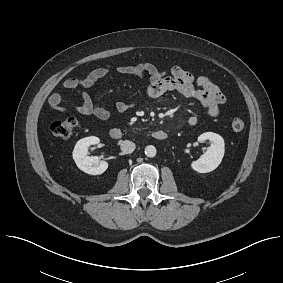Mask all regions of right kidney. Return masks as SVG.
Wrapping results in <instances>:
<instances>
[{"mask_svg": "<svg viewBox=\"0 0 283 283\" xmlns=\"http://www.w3.org/2000/svg\"><path fill=\"white\" fill-rule=\"evenodd\" d=\"M100 139L95 136H90L79 140L73 150V159L77 167L83 172L90 175H100L108 168V163L99 161L97 156H88V148L91 145L98 144Z\"/></svg>", "mask_w": 283, "mask_h": 283, "instance_id": "obj_1", "label": "right kidney"}]
</instances>
